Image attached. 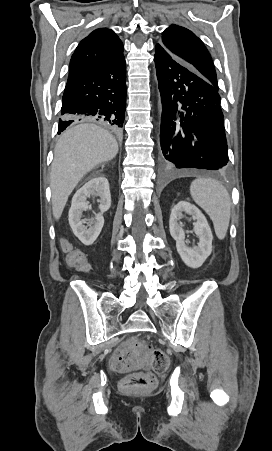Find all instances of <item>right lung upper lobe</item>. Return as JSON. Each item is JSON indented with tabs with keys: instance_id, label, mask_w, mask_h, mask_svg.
<instances>
[{
	"instance_id": "right-lung-upper-lobe-1",
	"label": "right lung upper lobe",
	"mask_w": 272,
	"mask_h": 451,
	"mask_svg": "<svg viewBox=\"0 0 272 451\" xmlns=\"http://www.w3.org/2000/svg\"><path fill=\"white\" fill-rule=\"evenodd\" d=\"M123 54V44L113 30L99 28L83 39L72 55L69 74L109 62Z\"/></svg>"
}]
</instances>
